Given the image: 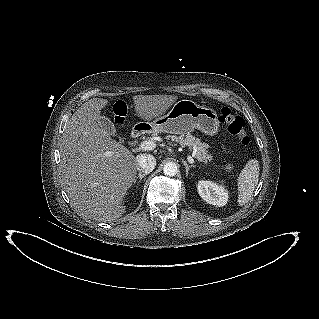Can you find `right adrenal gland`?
<instances>
[{"mask_svg": "<svg viewBox=\"0 0 319 319\" xmlns=\"http://www.w3.org/2000/svg\"><path fill=\"white\" fill-rule=\"evenodd\" d=\"M147 174H141L139 173L138 176L136 177L135 181H134V184L136 183L137 179H139V183L142 181V179L146 176ZM139 186V185H138ZM138 186H137V189H138Z\"/></svg>", "mask_w": 319, "mask_h": 319, "instance_id": "right-adrenal-gland-1", "label": "right adrenal gland"}]
</instances>
